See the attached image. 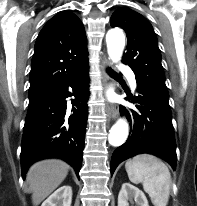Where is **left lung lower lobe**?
<instances>
[{
    "instance_id": "obj_1",
    "label": "left lung lower lobe",
    "mask_w": 197,
    "mask_h": 206,
    "mask_svg": "<svg viewBox=\"0 0 197 206\" xmlns=\"http://www.w3.org/2000/svg\"><path fill=\"white\" fill-rule=\"evenodd\" d=\"M138 96L128 95L138 111L120 106L121 115L130 121L127 141L118 147L111 158V175L122 161L140 153H151L176 168V143L168 98L137 83Z\"/></svg>"
}]
</instances>
